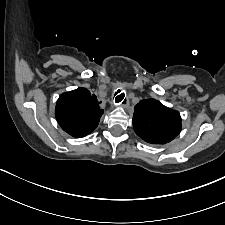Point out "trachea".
Returning <instances> with one entry per match:
<instances>
[{"label": "trachea", "mask_w": 225, "mask_h": 225, "mask_svg": "<svg viewBox=\"0 0 225 225\" xmlns=\"http://www.w3.org/2000/svg\"><path fill=\"white\" fill-rule=\"evenodd\" d=\"M117 92H120V90H118ZM124 96H125L124 93L119 94V95L115 98L116 103L121 102V101L124 99ZM124 101H125V100H124Z\"/></svg>", "instance_id": "obj_1"}]
</instances>
